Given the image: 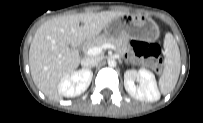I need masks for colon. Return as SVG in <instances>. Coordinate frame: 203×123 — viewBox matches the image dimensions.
<instances>
[{
	"label": "colon",
	"instance_id": "obj_1",
	"mask_svg": "<svg viewBox=\"0 0 203 123\" xmlns=\"http://www.w3.org/2000/svg\"><path fill=\"white\" fill-rule=\"evenodd\" d=\"M152 54L155 56L154 64H153L154 69H155V71L159 72V71L161 70V61H160V59L158 58L159 51L153 49V50H152Z\"/></svg>",
	"mask_w": 203,
	"mask_h": 123
}]
</instances>
